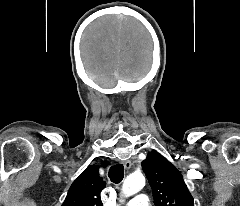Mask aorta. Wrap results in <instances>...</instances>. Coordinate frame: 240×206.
Segmentation results:
<instances>
[{
  "instance_id": "aorta-1",
  "label": "aorta",
  "mask_w": 240,
  "mask_h": 206,
  "mask_svg": "<svg viewBox=\"0 0 240 206\" xmlns=\"http://www.w3.org/2000/svg\"><path fill=\"white\" fill-rule=\"evenodd\" d=\"M145 186V178L141 173L129 175L122 185V194L125 197L138 193Z\"/></svg>"
}]
</instances>
